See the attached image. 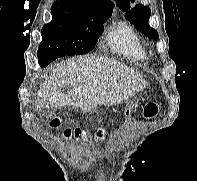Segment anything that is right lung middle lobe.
Instances as JSON below:
<instances>
[{
    "instance_id": "obj_1",
    "label": "right lung middle lobe",
    "mask_w": 197,
    "mask_h": 181,
    "mask_svg": "<svg viewBox=\"0 0 197 181\" xmlns=\"http://www.w3.org/2000/svg\"><path fill=\"white\" fill-rule=\"evenodd\" d=\"M53 16V15H52ZM109 15H91L80 18L53 16L50 23L43 26L42 42L37 56L42 66H47L56 58L65 55H82L94 49L103 32V24Z\"/></svg>"
}]
</instances>
